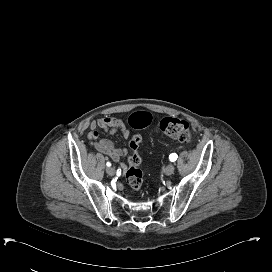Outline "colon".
Listing matches in <instances>:
<instances>
[{"label":"colon","instance_id":"5ec220e1","mask_svg":"<svg viewBox=\"0 0 272 272\" xmlns=\"http://www.w3.org/2000/svg\"><path fill=\"white\" fill-rule=\"evenodd\" d=\"M150 121V116L145 113H134L128 118V124L135 130L144 129L149 125ZM158 128L167 136L180 142L188 143L191 139L189 124L183 119L164 117L158 123ZM140 142L141 136L139 134H134L130 140L129 147H137L140 145ZM126 181L130 188L135 191H138L141 188L142 172L136 164H130V167L126 173Z\"/></svg>","mask_w":272,"mask_h":272}]
</instances>
